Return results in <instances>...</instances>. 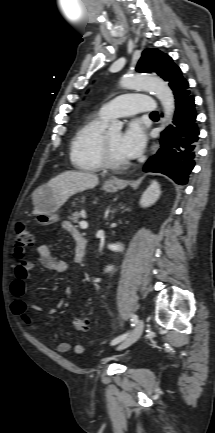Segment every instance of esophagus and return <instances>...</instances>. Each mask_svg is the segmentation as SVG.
Returning a JSON list of instances; mask_svg holds the SVG:
<instances>
[{
  "instance_id": "obj_1",
  "label": "esophagus",
  "mask_w": 215,
  "mask_h": 433,
  "mask_svg": "<svg viewBox=\"0 0 215 433\" xmlns=\"http://www.w3.org/2000/svg\"><path fill=\"white\" fill-rule=\"evenodd\" d=\"M111 182H112V183H115V184H118V183H119V181L116 180V179L112 180Z\"/></svg>"
}]
</instances>
